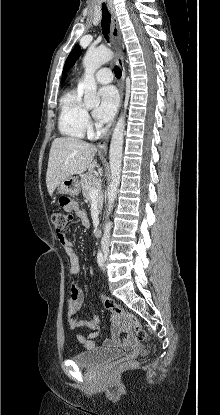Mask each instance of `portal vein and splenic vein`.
Segmentation results:
<instances>
[{
  "mask_svg": "<svg viewBox=\"0 0 220 415\" xmlns=\"http://www.w3.org/2000/svg\"><path fill=\"white\" fill-rule=\"evenodd\" d=\"M100 189H101V184L100 182H98L96 186L90 191V197L91 198L97 197L100 193Z\"/></svg>",
  "mask_w": 220,
  "mask_h": 415,
  "instance_id": "1",
  "label": "portal vein and splenic vein"
}]
</instances>
